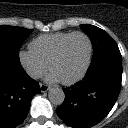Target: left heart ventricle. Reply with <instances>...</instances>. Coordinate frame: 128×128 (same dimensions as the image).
<instances>
[{
  "label": "left heart ventricle",
  "mask_w": 128,
  "mask_h": 128,
  "mask_svg": "<svg viewBox=\"0 0 128 128\" xmlns=\"http://www.w3.org/2000/svg\"><path fill=\"white\" fill-rule=\"evenodd\" d=\"M88 55V43L83 36L72 37L64 47L62 56L52 68L59 80L75 77L83 68Z\"/></svg>",
  "instance_id": "left-heart-ventricle-1"
}]
</instances>
